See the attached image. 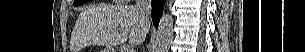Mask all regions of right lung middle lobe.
<instances>
[{
    "label": "right lung middle lobe",
    "mask_w": 305,
    "mask_h": 52,
    "mask_svg": "<svg viewBox=\"0 0 305 52\" xmlns=\"http://www.w3.org/2000/svg\"><path fill=\"white\" fill-rule=\"evenodd\" d=\"M88 1H90V0H77V1L74 2V5H80V4H83V3L88 2Z\"/></svg>",
    "instance_id": "dd1d6c3e"
}]
</instances>
